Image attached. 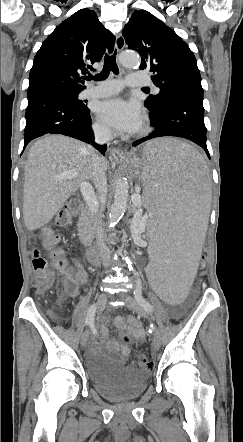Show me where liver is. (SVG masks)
Wrapping results in <instances>:
<instances>
[{
	"label": "liver",
	"mask_w": 243,
	"mask_h": 442,
	"mask_svg": "<svg viewBox=\"0 0 243 442\" xmlns=\"http://www.w3.org/2000/svg\"><path fill=\"white\" fill-rule=\"evenodd\" d=\"M95 154L90 146L63 135H47L32 145L24 168L23 218L28 230L50 222L81 183L93 179ZM101 159L107 170V160ZM71 170L78 173L74 179L55 178Z\"/></svg>",
	"instance_id": "liver-1"
}]
</instances>
